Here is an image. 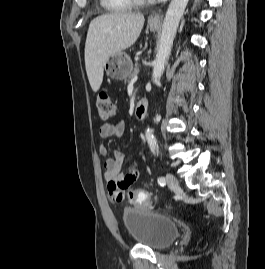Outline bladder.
Instances as JSON below:
<instances>
[{
	"label": "bladder",
	"instance_id": "31cf9c89",
	"mask_svg": "<svg viewBox=\"0 0 265 269\" xmlns=\"http://www.w3.org/2000/svg\"><path fill=\"white\" fill-rule=\"evenodd\" d=\"M121 218L129 236L137 244L153 250L169 247L180 234L176 222L146 209L124 208Z\"/></svg>",
	"mask_w": 265,
	"mask_h": 269
}]
</instances>
